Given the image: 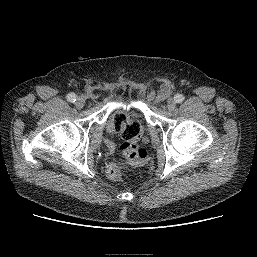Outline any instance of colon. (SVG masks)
Listing matches in <instances>:
<instances>
[{"instance_id":"colon-1","label":"colon","mask_w":257,"mask_h":257,"mask_svg":"<svg viewBox=\"0 0 257 257\" xmlns=\"http://www.w3.org/2000/svg\"><path fill=\"white\" fill-rule=\"evenodd\" d=\"M108 131L120 134L125 141L123 159L110 164L108 167L110 177L114 179L121 178L128 164H143L147 161V151L136 144L141 135V126L137 121L129 119L123 113H117L111 119ZM106 144L109 148L113 147L110 141H107Z\"/></svg>"}]
</instances>
